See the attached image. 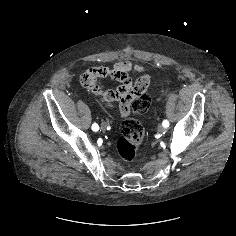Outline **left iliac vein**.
<instances>
[{
	"label": "left iliac vein",
	"instance_id": "left-iliac-vein-1",
	"mask_svg": "<svg viewBox=\"0 0 236 236\" xmlns=\"http://www.w3.org/2000/svg\"><path fill=\"white\" fill-rule=\"evenodd\" d=\"M158 131H159V132H164V131H165V127L159 126V127H158Z\"/></svg>",
	"mask_w": 236,
	"mask_h": 236
}]
</instances>
